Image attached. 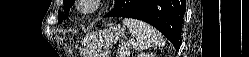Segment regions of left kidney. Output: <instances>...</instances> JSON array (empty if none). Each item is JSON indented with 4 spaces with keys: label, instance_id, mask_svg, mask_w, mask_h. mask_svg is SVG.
Returning a JSON list of instances; mask_svg holds the SVG:
<instances>
[{
    "label": "left kidney",
    "instance_id": "obj_1",
    "mask_svg": "<svg viewBox=\"0 0 249 57\" xmlns=\"http://www.w3.org/2000/svg\"><path fill=\"white\" fill-rule=\"evenodd\" d=\"M137 57H153V55L148 54V53H141V54L137 55Z\"/></svg>",
    "mask_w": 249,
    "mask_h": 57
}]
</instances>
